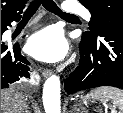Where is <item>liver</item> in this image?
Here are the masks:
<instances>
[{"instance_id":"6515ba94","label":"liver","mask_w":123,"mask_h":113,"mask_svg":"<svg viewBox=\"0 0 123 113\" xmlns=\"http://www.w3.org/2000/svg\"><path fill=\"white\" fill-rule=\"evenodd\" d=\"M25 107V97L18 89L1 90V113H23Z\"/></svg>"}]
</instances>
